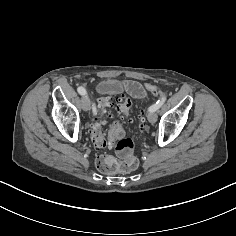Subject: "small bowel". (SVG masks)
Returning <instances> with one entry per match:
<instances>
[{
  "label": "small bowel",
  "mask_w": 236,
  "mask_h": 236,
  "mask_svg": "<svg viewBox=\"0 0 236 236\" xmlns=\"http://www.w3.org/2000/svg\"><path fill=\"white\" fill-rule=\"evenodd\" d=\"M134 85H135V83H133V82H130V81L125 82V87L129 93H131L133 96L138 97V98L145 97V92L141 89H138L135 92L131 91L130 87L134 86Z\"/></svg>",
  "instance_id": "c3829d8e"
}]
</instances>
